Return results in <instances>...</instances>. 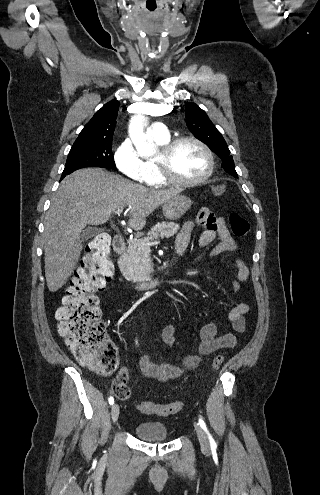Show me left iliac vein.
Listing matches in <instances>:
<instances>
[{"mask_svg": "<svg viewBox=\"0 0 320 495\" xmlns=\"http://www.w3.org/2000/svg\"><path fill=\"white\" fill-rule=\"evenodd\" d=\"M194 426H195L196 434H197L201 448L205 451H208L210 446H209L208 439H207L203 429L201 428V426H199L197 424H195Z\"/></svg>", "mask_w": 320, "mask_h": 495, "instance_id": "4c4485c4", "label": "left iliac vein"}]
</instances>
